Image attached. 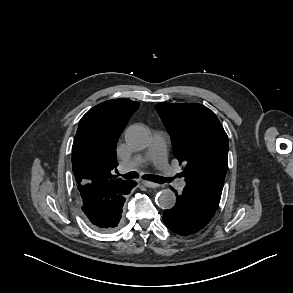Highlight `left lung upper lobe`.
<instances>
[{
	"label": "left lung upper lobe",
	"instance_id": "obj_1",
	"mask_svg": "<svg viewBox=\"0 0 293 293\" xmlns=\"http://www.w3.org/2000/svg\"><path fill=\"white\" fill-rule=\"evenodd\" d=\"M173 152L184 166L185 188L218 206L228 168V136L217 116L200 104L159 103Z\"/></svg>",
	"mask_w": 293,
	"mask_h": 293
}]
</instances>
